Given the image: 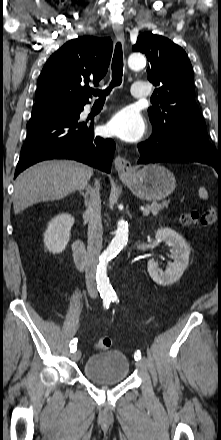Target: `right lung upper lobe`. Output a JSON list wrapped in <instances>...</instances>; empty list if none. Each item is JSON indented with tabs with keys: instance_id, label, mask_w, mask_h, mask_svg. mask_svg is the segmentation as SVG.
Returning <instances> with one entry per match:
<instances>
[{
	"instance_id": "cb5924a9",
	"label": "right lung upper lobe",
	"mask_w": 221,
	"mask_h": 440,
	"mask_svg": "<svg viewBox=\"0 0 221 440\" xmlns=\"http://www.w3.org/2000/svg\"><path fill=\"white\" fill-rule=\"evenodd\" d=\"M112 49L110 38L83 36L65 43L48 59L39 76L32 111L87 104L90 94L86 85H97L104 77Z\"/></svg>"
}]
</instances>
